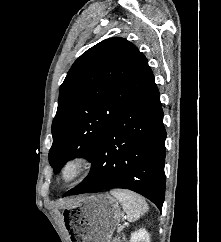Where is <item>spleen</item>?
<instances>
[{"instance_id":"1","label":"spleen","mask_w":221,"mask_h":242,"mask_svg":"<svg viewBox=\"0 0 221 242\" xmlns=\"http://www.w3.org/2000/svg\"><path fill=\"white\" fill-rule=\"evenodd\" d=\"M110 193L121 203L129 222L137 221L148 211V204L145 199L132 191L114 189Z\"/></svg>"}]
</instances>
